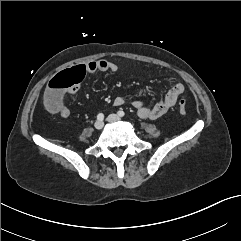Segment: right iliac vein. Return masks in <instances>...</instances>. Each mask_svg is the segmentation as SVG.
I'll return each instance as SVG.
<instances>
[{"instance_id":"63e3f726","label":"right iliac vein","mask_w":241,"mask_h":241,"mask_svg":"<svg viewBox=\"0 0 241 241\" xmlns=\"http://www.w3.org/2000/svg\"><path fill=\"white\" fill-rule=\"evenodd\" d=\"M103 126H104L103 121H96L95 124H94V127H95V129H97V130L102 129Z\"/></svg>"}]
</instances>
